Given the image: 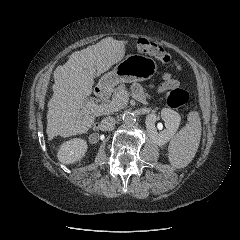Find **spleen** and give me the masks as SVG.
<instances>
[{"instance_id": "1", "label": "spleen", "mask_w": 240, "mask_h": 240, "mask_svg": "<svg viewBox=\"0 0 240 240\" xmlns=\"http://www.w3.org/2000/svg\"><path fill=\"white\" fill-rule=\"evenodd\" d=\"M187 121L168 147L169 162L176 168H184L192 161L200 143L202 127L198 112L191 111Z\"/></svg>"}]
</instances>
